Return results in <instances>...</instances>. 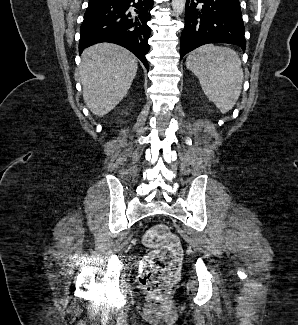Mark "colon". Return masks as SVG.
Returning <instances> with one entry per match:
<instances>
[{
	"mask_svg": "<svg viewBox=\"0 0 298 325\" xmlns=\"http://www.w3.org/2000/svg\"><path fill=\"white\" fill-rule=\"evenodd\" d=\"M151 251L139 269L140 283L149 293L165 297L178 279L183 251L178 237L164 224H156L143 236Z\"/></svg>",
	"mask_w": 298,
	"mask_h": 325,
	"instance_id": "1",
	"label": "colon"
}]
</instances>
